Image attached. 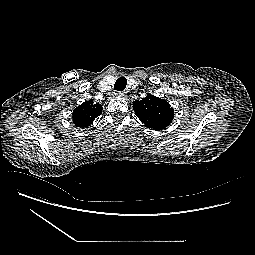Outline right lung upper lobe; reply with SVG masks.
I'll list each match as a JSON object with an SVG mask.
<instances>
[{
	"label": "right lung upper lobe",
	"mask_w": 255,
	"mask_h": 255,
	"mask_svg": "<svg viewBox=\"0 0 255 255\" xmlns=\"http://www.w3.org/2000/svg\"><path fill=\"white\" fill-rule=\"evenodd\" d=\"M101 113V104H94L93 100H89L75 108L72 114L73 123L77 127H88L93 123L96 117L101 115Z\"/></svg>",
	"instance_id": "obj_1"
}]
</instances>
